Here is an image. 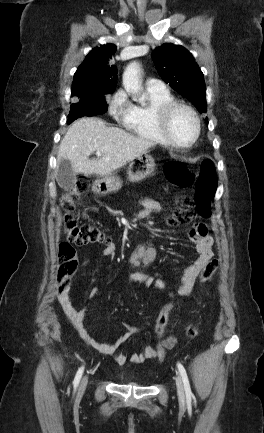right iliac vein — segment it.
<instances>
[{"label":"right iliac vein","instance_id":"right-iliac-vein-1","mask_svg":"<svg viewBox=\"0 0 264 433\" xmlns=\"http://www.w3.org/2000/svg\"><path fill=\"white\" fill-rule=\"evenodd\" d=\"M87 384H88V376L86 375L81 380L79 390H78V396H81L85 392Z\"/></svg>","mask_w":264,"mask_h":433}]
</instances>
